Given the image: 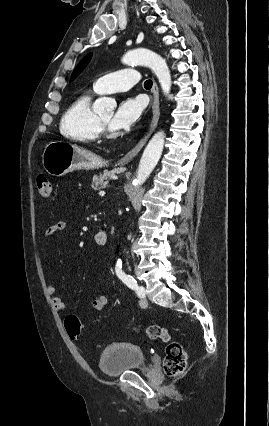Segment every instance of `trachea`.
<instances>
[{
	"label": "trachea",
	"instance_id": "obj_1",
	"mask_svg": "<svg viewBox=\"0 0 269 426\" xmlns=\"http://www.w3.org/2000/svg\"><path fill=\"white\" fill-rule=\"evenodd\" d=\"M144 87L145 88H151L152 87V81L151 80H146L144 82Z\"/></svg>",
	"mask_w": 269,
	"mask_h": 426
}]
</instances>
